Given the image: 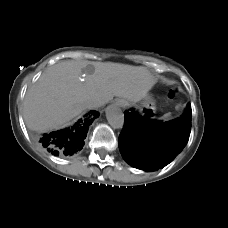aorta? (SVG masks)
<instances>
[{
  "instance_id": "762f6f07",
  "label": "aorta",
  "mask_w": 228,
  "mask_h": 228,
  "mask_svg": "<svg viewBox=\"0 0 228 228\" xmlns=\"http://www.w3.org/2000/svg\"><path fill=\"white\" fill-rule=\"evenodd\" d=\"M106 118L111 127L115 129L123 128L124 114L117 105H110L106 109Z\"/></svg>"
}]
</instances>
